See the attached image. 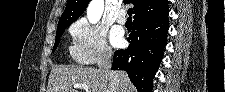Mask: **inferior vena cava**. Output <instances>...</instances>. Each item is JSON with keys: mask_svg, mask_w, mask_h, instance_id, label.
Here are the masks:
<instances>
[{"mask_svg": "<svg viewBox=\"0 0 225 92\" xmlns=\"http://www.w3.org/2000/svg\"><path fill=\"white\" fill-rule=\"evenodd\" d=\"M112 65V51L105 49L103 51V57L99 64V69L107 73L110 77V83H111V91L117 92V85H118V79L116 72L111 70Z\"/></svg>", "mask_w": 225, "mask_h": 92, "instance_id": "obj_1", "label": "inferior vena cava"}]
</instances>
